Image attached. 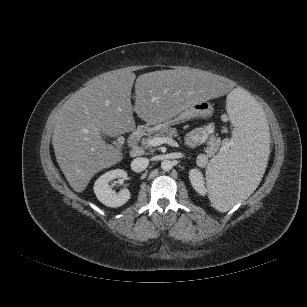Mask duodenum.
<instances>
[{
	"label": "duodenum",
	"instance_id": "duodenum-1",
	"mask_svg": "<svg viewBox=\"0 0 307 307\" xmlns=\"http://www.w3.org/2000/svg\"><path fill=\"white\" fill-rule=\"evenodd\" d=\"M145 134V129L144 128H137L136 130H134L128 139V144L130 147H135L139 144V142L141 141L142 137Z\"/></svg>",
	"mask_w": 307,
	"mask_h": 307
}]
</instances>
